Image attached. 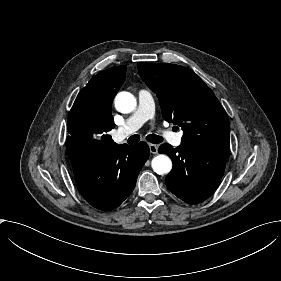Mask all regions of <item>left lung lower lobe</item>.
Listing matches in <instances>:
<instances>
[{"mask_svg":"<svg viewBox=\"0 0 281 281\" xmlns=\"http://www.w3.org/2000/svg\"><path fill=\"white\" fill-rule=\"evenodd\" d=\"M158 151L167 154L173 169L165 183L168 189L186 203L196 204L209 198L224 174L228 146H188L174 149L162 144Z\"/></svg>","mask_w":281,"mask_h":281,"instance_id":"0a47b994","label":"left lung lower lobe"}]
</instances>
